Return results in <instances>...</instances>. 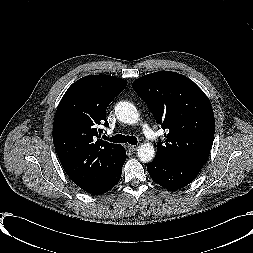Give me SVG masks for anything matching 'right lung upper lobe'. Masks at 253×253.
<instances>
[{"label": "right lung upper lobe", "mask_w": 253, "mask_h": 253, "mask_svg": "<svg viewBox=\"0 0 253 253\" xmlns=\"http://www.w3.org/2000/svg\"><path fill=\"white\" fill-rule=\"evenodd\" d=\"M127 85L109 75L85 76L64 94L53 124V142L69 178L84 191L99 189L120 167L124 147L96 139L106 108Z\"/></svg>", "instance_id": "1"}]
</instances>
